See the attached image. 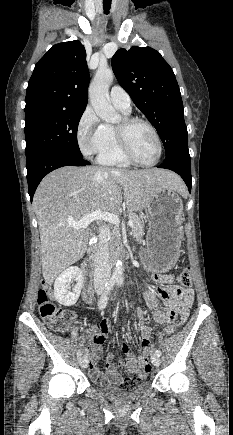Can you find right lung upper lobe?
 I'll return each mask as SVG.
<instances>
[{"label": "right lung upper lobe", "instance_id": "obj_1", "mask_svg": "<svg viewBox=\"0 0 233 435\" xmlns=\"http://www.w3.org/2000/svg\"><path fill=\"white\" fill-rule=\"evenodd\" d=\"M88 85L84 46L78 40L52 46L36 63L28 82L25 117L47 111H84Z\"/></svg>", "mask_w": 233, "mask_h": 435}]
</instances>
